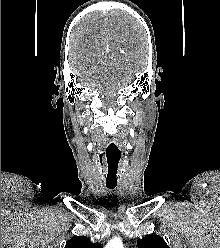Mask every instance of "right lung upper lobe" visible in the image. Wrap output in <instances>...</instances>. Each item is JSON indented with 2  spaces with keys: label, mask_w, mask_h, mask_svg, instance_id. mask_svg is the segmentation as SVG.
I'll use <instances>...</instances> for the list:
<instances>
[{
  "label": "right lung upper lobe",
  "mask_w": 220,
  "mask_h": 248,
  "mask_svg": "<svg viewBox=\"0 0 220 248\" xmlns=\"http://www.w3.org/2000/svg\"><path fill=\"white\" fill-rule=\"evenodd\" d=\"M65 248H101L98 243H92L87 237L77 236L71 238Z\"/></svg>",
  "instance_id": "right-lung-upper-lobe-1"
}]
</instances>
